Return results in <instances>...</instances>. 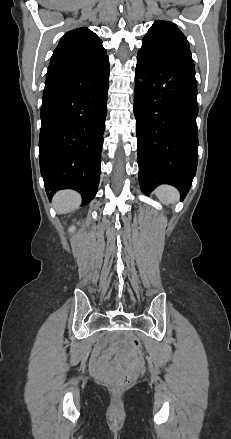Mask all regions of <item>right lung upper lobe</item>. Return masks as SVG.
Segmentation results:
<instances>
[{"label": "right lung upper lobe", "instance_id": "obj_1", "mask_svg": "<svg viewBox=\"0 0 231 439\" xmlns=\"http://www.w3.org/2000/svg\"><path fill=\"white\" fill-rule=\"evenodd\" d=\"M107 57L102 41L94 32L85 27L71 30L54 50L46 81L86 72Z\"/></svg>", "mask_w": 231, "mask_h": 439}]
</instances>
